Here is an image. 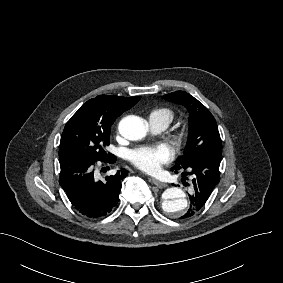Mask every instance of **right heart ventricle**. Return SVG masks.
<instances>
[{
  "label": "right heart ventricle",
  "instance_id": "e07e8e85",
  "mask_svg": "<svg viewBox=\"0 0 283 283\" xmlns=\"http://www.w3.org/2000/svg\"><path fill=\"white\" fill-rule=\"evenodd\" d=\"M155 117L159 120L167 122V125H169L174 120V112L167 107H159L154 109L149 117Z\"/></svg>",
  "mask_w": 283,
  "mask_h": 283
}]
</instances>
